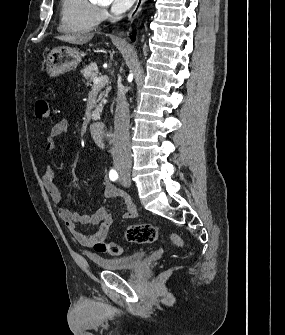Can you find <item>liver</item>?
<instances>
[{"label": "liver", "mask_w": 285, "mask_h": 335, "mask_svg": "<svg viewBox=\"0 0 285 335\" xmlns=\"http://www.w3.org/2000/svg\"><path fill=\"white\" fill-rule=\"evenodd\" d=\"M93 36L94 34H68V36H56V38L62 42H68V44H87Z\"/></svg>", "instance_id": "obj_1"}]
</instances>
